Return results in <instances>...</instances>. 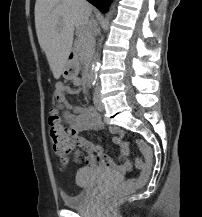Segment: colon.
Wrapping results in <instances>:
<instances>
[{
    "label": "colon",
    "mask_w": 202,
    "mask_h": 217,
    "mask_svg": "<svg viewBox=\"0 0 202 217\" xmlns=\"http://www.w3.org/2000/svg\"><path fill=\"white\" fill-rule=\"evenodd\" d=\"M48 123L49 138L53 152L60 158L62 165L66 167L69 165L71 153L74 152L76 156H81V152L76 149V143L68 133L67 127L57 111L52 110L50 112ZM137 145L145 157V162L140 158L135 160L136 166L140 169V175L117 185L103 198L102 203L104 205H113L122 195L140 188L150 178L153 167L152 148L144 140H138Z\"/></svg>",
    "instance_id": "5ec220e1"
}]
</instances>
